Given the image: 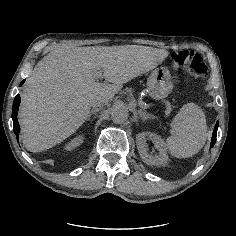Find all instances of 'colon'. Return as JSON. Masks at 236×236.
<instances>
[{"label": "colon", "mask_w": 236, "mask_h": 236, "mask_svg": "<svg viewBox=\"0 0 236 236\" xmlns=\"http://www.w3.org/2000/svg\"><path fill=\"white\" fill-rule=\"evenodd\" d=\"M170 58L174 67L185 70L192 79H200L207 75L206 62L193 49L174 50Z\"/></svg>", "instance_id": "colon-1"}]
</instances>
